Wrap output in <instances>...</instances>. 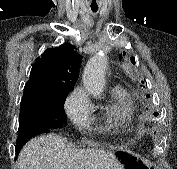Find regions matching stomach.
Wrapping results in <instances>:
<instances>
[{"label": "stomach", "mask_w": 177, "mask_h": 169, "mask_svg": "<svg viewBox=\"0 0 177 169\" xmlns=\"http://www.w3.org/2000/svg\"><path fill=\"white\" fill-rule=\"evenodd\" d=\"M116 156L123 165L122 169H146L147 167V165L134 154L118 153Z\"/></svg>", "instance_id": "0dacf381"}]
</instances>
